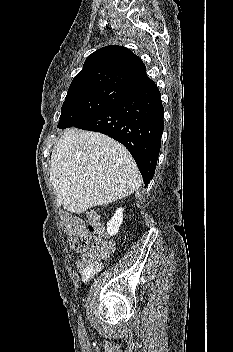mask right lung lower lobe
<instances>
[{
    "label": "right lung lower lobe",
    "mask_w": 233,
    "mask_h": 352,
    "mask_svg": "<svg viewBox=\"0 0 233 352\" xmlns=\"http://www.w3.org/2000/svg\"><path fill=\"white\" fill-rule=\"evenodd\" d=\"M163 116L161 95L154 83L75 127L103 133L122 143L133 156L147 187L160 151Z\"/></svg>",
    "instance_id": "98d812e1"
}]
</instances>
